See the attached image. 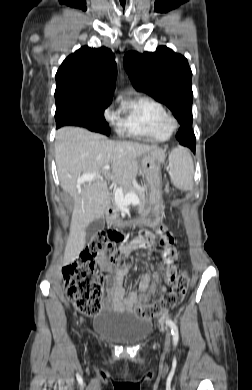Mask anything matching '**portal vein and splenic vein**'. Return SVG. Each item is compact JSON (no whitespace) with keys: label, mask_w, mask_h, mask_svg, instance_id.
<instances>
[{"label":"portal vein and splenic vein","mask_w":252,"mask_h":390,"mask_svg":"<svg viewBox=\"0 0 252 390\" xmlns=\"http://www.w3.org/2000/svg\"><path fill=\"white\" fill-rule=\"evenodd\" d=\"M110 167L105 166L103 169L108 170ZM97 173L86 174L78 178V183L91 182ZM115 200L118 204L127 205V204H138L139 199L135 193H128L127 195H123L122 188H117L115 191Z\"/></svg>","instance_id":"obj_1"}]
</instances>
